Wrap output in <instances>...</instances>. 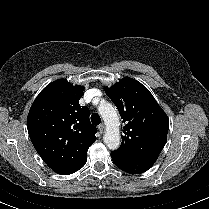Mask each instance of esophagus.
Wrapping results in <instances>:
<instances>
[{
  "label": "esophagus",
  "mask_w": 209,
  "mask_h": 209,
  "mask_svg": "<svg viewBox=\"0 0 209 209\" xmlns=\"http://www.w3.org/2000/svg\"><path fill=\"white\" fill-rule=\"evenodd\" d=\"M98 129H99V131H100L101 133H103L104 130H105V125H104V124H100V125L98 126Z\"/></svg>",
  "instance_id": "esophagus-1"
}]
</instances>
